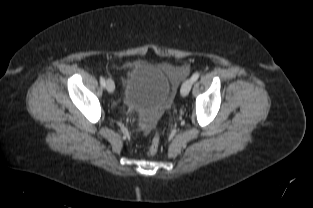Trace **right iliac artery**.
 <instances>
[{"label": "right iliac artery", "mask_w": 313, "mask_h": 208, "mask_svg": "<svg viewBox=\"0 0 313 208\" xmlns=\"http://www.w3.org/2000/svg\"><path fill=\"white\" fill-rule=\"evenodd\" d=\"M100 84H101V86L102 87H105L106 86V82H105V79H104V77H100Z\"/></svg>", "instance_id": "obj_1"}]
</instances>
